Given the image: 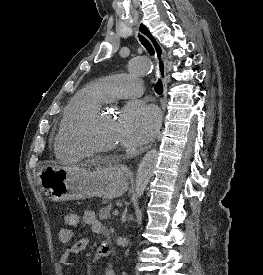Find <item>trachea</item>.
Returning <instances> with one entry per match:
<instances>
[{"instance_id":"3493384b","label":"trachea","mask_w":263,"mask_h":275,"mask_svg":"<svg viewBox=\"0 0 263 275\" xmlns=\"http://www.w3.org/2000/svg\"><path fill=\"white\" fill-rule=\"evenodd\" d=\"M140 42L142 43V45L146 48V50L151 54L154 55V49L151 45V43L148 41V39H146L143 35H138ZM155 92L158 95H161L163 93V85H162V81L159 79L155 85Z\"/></svg>"}]
</instances>
